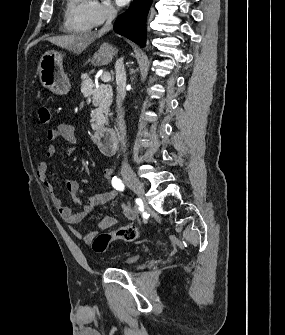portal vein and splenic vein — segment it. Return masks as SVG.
Segmentation results:
<instances>
[{"label": "portal vein and splenic vein", "instance_id": "18ae733b", "mask_svg": "<svg viewBox=\"0 0 285 335\" xmlns=\"http://www.w3.org/2000/svg\"><path fill=\"white\" fill-rule=\"evenodd\" d=\"M101 80H102V82H110V80H111L110 74H102Z\"/></svg>", "mask_w": 285, "mask_h": 335}]
</instances>
